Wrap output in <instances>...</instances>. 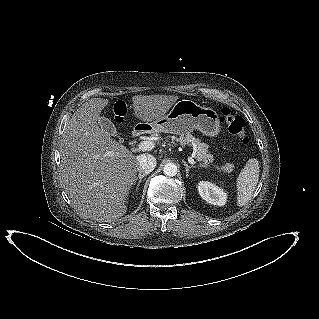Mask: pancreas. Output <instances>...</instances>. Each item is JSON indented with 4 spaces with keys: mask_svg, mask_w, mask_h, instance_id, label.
<instances>
[{
    "mask_svg": "<svg viewBox=\"0 0 319 319\" xmlns=\"http://www.w3.org/2000/svg\"><path fill=\"white\" fill-rule=\"evenodd\" d=\"M171 139L180 142L182 146L187 144L195 146V158L202 167L209 168L212 165L214 169H217L225 174H229L233 171L234 165L231 163H226L221 166L212 164L214 161V156L208 151V145L206 143H202L193 135L187 134L186 136H181L180 138L172 136Z\"/></svg>",
    "mask_w": 319,
    "mask_h": 319,
    "instance_id": "1",
    "label": "pancreas"
}]
</instances>
